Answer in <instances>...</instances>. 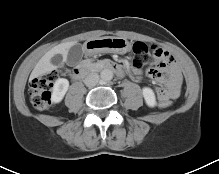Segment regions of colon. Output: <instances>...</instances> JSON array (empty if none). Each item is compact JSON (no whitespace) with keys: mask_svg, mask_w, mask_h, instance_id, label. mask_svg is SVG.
I'll list each match as a JSON object with an SVG mask.
<instances>
[{"mask_svg":"<svg viewBox=\"0 0 219 174\" xmlns=\"http://www.w3.org/2000/svg\"><path fill=\"white\" fill-rule=\"evenodd\" d=\"M154 59V51L143 42H136L132 48V64L136 68H142ZM64 73V70H53L33 78L29 83L30 102L37 110H45L50 104V89L55 81ZM167 99H158V106L162 109L170 107Z\"/></svg>","mask_w":219,"mask_h":174,"instance_id":"5ec220e1","label":"colon"}]
</instances>
